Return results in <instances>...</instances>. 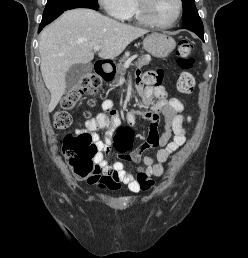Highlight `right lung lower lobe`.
<instances>
[{
	"label": "right lung lower lobe",
	"instance_id": "obj_1",
	"mask_svg": "<svg viewBox=\"0 0 248 258\" xmlns=\"http://www.w3.org/2000/svg\"><path fill=\"white\" fill-rule=\"evenodd\" d=\"M77 8H91V9H94V10H98V8H95V7H92V6H88V5H82V6H79ZM63 12L55 15V16H52L50 18H47V19H44L41 21V24L39 26V30L38 32H40L42 30L43 27H45L47 24L51 23L53 20H55L58 16H60Z\"/></svg>",
	"mask_w": 248,
	"mask_h": 258
}]
</instances>
